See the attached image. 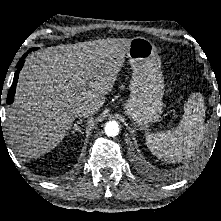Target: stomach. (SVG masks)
Returning a JSON list of instances; mask_svg holds the SVG:
<instances>
[{
    "instance_id": "0dacf381",
    "label": "stomach",
    "mask_w": 221,
    "mask_h": 221,
    "mask_svg": "<svg viewBox=\"0 0 221 221\" xmlns=\"http://www.w3.org/2000/svg\"><path fill=\"white\" fill-rule=\"evenodd\" d=\"M126 55L133 73L124 112L135 125L146 128L158 121L163 111L161 59L155 45L144 37L132 38Z\"/></svg>"
}]
</instances>
